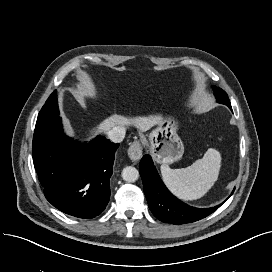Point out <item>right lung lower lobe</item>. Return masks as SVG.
Segmentation results:
<instances>
[{
    "label": "right lung lower lobe",
    "mask_w": 272,
    "mask_h": 272,
    "mask_svg": "<svg viewBox=\"0 0 272 272\" xmlns=\"http://www.w3.org/2000/svg\"><path fill=\"white\" fill-rule=\"evenodd\" d=\"M119 144L98 136L87 144L63 134L60 116L36 122L32 156L46 199L78 218L99 215L110 198V177Z\"/></svg>",
    "instance_id": "right-lung-lower-lobe-1"
}]
</instances>
